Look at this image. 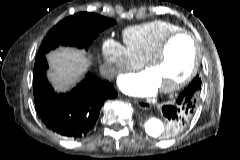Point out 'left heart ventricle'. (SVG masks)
Returning <instances> with one entry per match:
<instances>
[{
	"label": "left heart ventricle",
	"instance_id": "left-heart-ventricle-1",
	"mask_svg": "<svg viewBox=\"0 0 240 160\" xmlns=\"http://www.w3.org/2000/svg\"><path fill=\"white\" fill-rule=\"evenodd\" d=\"M194 58L195 51L191 40L187 36H178L168 44L162 58L148 66L146 72L158 88L169 86L187 75Z\"/></svg>",
	"mask_w": 240,
	"mask_h": 160
}]
</instances>
